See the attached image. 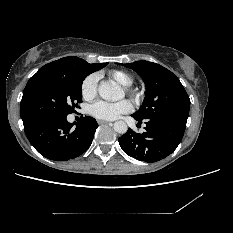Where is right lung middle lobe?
<instances>
[{
	"mask_svg": "<svg viewBox=\"0 0 233 233\" xmlns=\"http://www.w3.org/2000/svg\"><path fill=\"white\" fill-rule=\"evenodd\" d=\"M108 63L96 67L81 66L71 73L40 74L28 83L21 100L24 123L32 124L51 116H67L82 99V82L86 76Z\"/></svg>",
	"mask_w": 233,
	"mask_h": 233,
	"instance_id": "obj_1",
	"label": "right lung middle lobe"
}]
</instances>
